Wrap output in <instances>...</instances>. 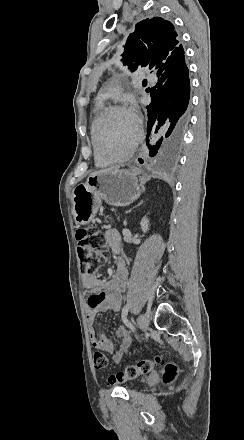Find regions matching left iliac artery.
I'll return each instance as SVG.
<instances>
[{"label": "left iliac artery", "instance_id": "1", "mask_svg": "<svg viewBox=\"0 0 244 440\" xmlns=\"http://www.w3.org/2000/svg\"><path fill=\"white\" fill-rule=\"evenodd\" d=\"M129 310H130V304H126L122 309L121 317H122L123 322L126 324V326L131 328L132 330H134V327L132 326L131 322L127 319V315H128Z\"/></svg>", "mask_w": 244, "mask_h": 440}]
</instances>
